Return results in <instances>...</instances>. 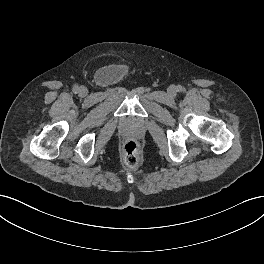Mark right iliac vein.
Listing matches in <instances>:
<instances>
[{
	"instance_id": "right-iliac-vein-1",
	"label": "right iliac vein",
	"mask_w": 264,
	"mask_h": 264,
	"mask_svg": "<svg viewBox=\"0 0 264 264\" xmlns=\"http://www.w3.org/2000/svg\"><path fill=\"white\" fill-rule=\"evenodd\" d=\"M79 92L81 95H86L87 94V89L85 87L79 88Z\"/></svg>"
}]
</instances>
